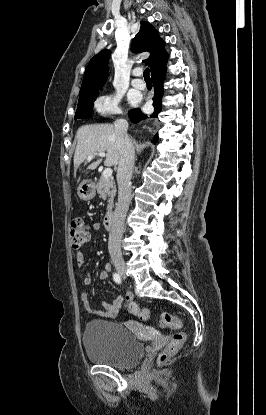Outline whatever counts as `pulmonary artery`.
<instances>
[{
	"label": "pulmonary artery",
	"mask_w": 266,
	"mask_h": 415,
	"mask_svg": "<svg viewBox=\"0 0 266 415\" xmlns=\"http://www.w3.org/2000/svg\"><path fill=\"white\" fill-rule=\"evenodd\" d=\"M134 75L135 76H139L141 75V71L140 70H135L134 71ZM132 86L137 88V89H144L145 88V83L142 79L139 78H135L132 80Z\"/></svg>",
	"instance_id": "e3ab8cb5"
}]
</instances>
